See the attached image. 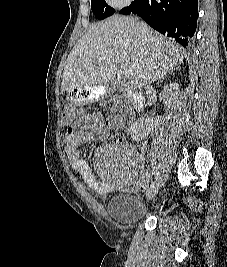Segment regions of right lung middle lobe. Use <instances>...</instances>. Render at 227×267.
Wrapping results in <instances>:
<instances>
[{"mask_svg":"<svg viewBox=\"0 0 227 267\" xmlns=\"http://www.w3.org/2000/svg\"><path fill=\"white\" fill-rule=\"evenodd\" d=\"M91 10L93 15L100 20L115 13V9L108 6L105 0H91Z\"/></svg>","mask_w":227,"mask_h":267,"instance_id":"right-lung-middle-lobe-1","label":"right lung middle lobe"}]
</instances>
